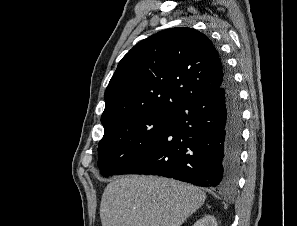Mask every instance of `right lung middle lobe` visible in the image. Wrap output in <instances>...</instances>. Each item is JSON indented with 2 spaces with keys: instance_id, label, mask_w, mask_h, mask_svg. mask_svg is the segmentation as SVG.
I'll list each match as a JSON object with an SVG mask.
<instances>
[{
  "instance_id": "1",
  "label": "right lung middle lobe",
  "mask_w": 297,
  "mask_h": 226,
  "mask_svg": "<svg viewBox=\"0 0 297 226\" xmlns=\"http://www.w3.org/2000/svg\"><path fill=\"white\" fill-rule=\"evenodd\" d=\"M175 111L137 114L104 128L98 167L103 176L116 174L147 149L174 121Z\"/></svg>"
}]
</instances>
